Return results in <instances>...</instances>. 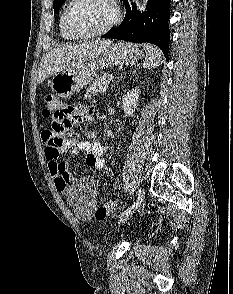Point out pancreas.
<instances>
[{
    "label": "pancreas",
    "mask_w": 233,
    "mask_h": 294,
    "mask_svg": "<svg viewBox=\"0 0 233 294\" xmlns=\"http://www.w3.org/2000/svg\"><path fill=\"white\" fill-rule=\"evenodd\" d=\"M108 74H103L101 76L96 77L89 85L87 92L85 94V98H91L92 95H97L99 92L104 93L108 84L110 83L108 79Z\"/></svg>",
    "instance_id": "pancreas-1"
}]
</instances>
